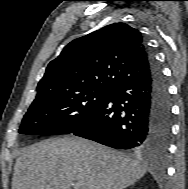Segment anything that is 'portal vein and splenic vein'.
Masks as SVG:
<instances>
[{"label": "portal vein and splenic vein", "instance_id": "1", "mask_svg": "<svg viewBox=\"0 0 188 189\" xmlns=\"http://www.w3.org/2000/svg\"><path fill=\"white\" fill-rule=\"evenodd\" d=\"M74 189H80V185L78 183L73 184Z\"/></svg>", "mask_w": 188, "mask_h": 189}]
</instances>
